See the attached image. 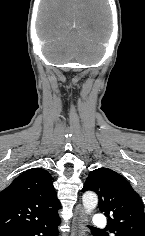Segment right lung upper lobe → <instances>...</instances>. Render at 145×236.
Listing matches in <instances>:
<instances>
[{"label": "right lung upper lobe", "mask_w": 145, "mask_h": 236, "mask_svg": "<svg viewBox=\"0 0 145 236\" xmlns=\"http://www.w3.org/2000/svg\"><path fill=\"white\" fill-rule=\"evenodd\" d=\"M59 208L49 172L28 170L0 193V234L36 228L59 217Z\"/></svg>", "instance_id": "cb5924a9"}]
</instances>
